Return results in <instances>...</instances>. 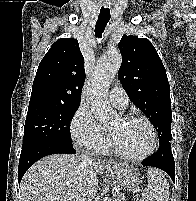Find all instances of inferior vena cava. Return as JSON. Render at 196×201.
<instances>
[{"label":"inferior vena cava","instance_id":"obj_1","mask_svg":"<svg viewBox=\"0 0 196 201\" xmlns=\"http://www.w3.org/2000/svg\"><path fill=\"white\" fill-rule=\"evenodd\" d=\"M81 159L84 161H91V158L89 157L87 153H82Z\"/></svg>","mask_w":196,"mask_h":201}]
</instances>
